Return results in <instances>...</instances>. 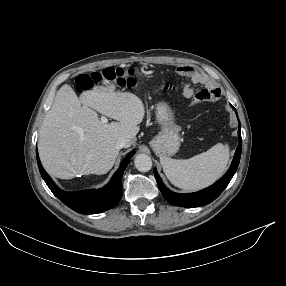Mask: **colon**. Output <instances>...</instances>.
I'll use <instances>...</instances> for the list:
<instances>
[{"label":"colon","instance_id":"5ec220e1","mask_svg":"<svg viewBox=\"0 0 286 286\" xmlns=\"http://www.w3.org/2000/svg\"><path fill=\"white\" fill-rule=\"evenodd\" d=\"M131 74L132 72L129 71L126 76L121 68L106 67L101 71L80 74L76 79V85L79 91H88L103 81L111 80H117L122 86H132L134 78ZM195 101H204V96L201 93L196 94Z\"/></svg>","mask_w":286,"mask_h":286}]
</instances>
